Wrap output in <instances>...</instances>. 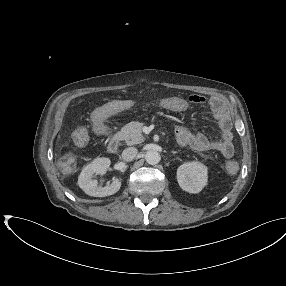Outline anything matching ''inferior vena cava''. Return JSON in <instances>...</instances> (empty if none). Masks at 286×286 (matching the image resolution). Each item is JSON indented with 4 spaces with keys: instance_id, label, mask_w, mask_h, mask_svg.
<instances>
[{
    "instance_id": "1",
    "label": "inferior vena cava",
    "mask_w": 286,
    "mask_h": 286,
    "mask_svg": "<svg viewBox=\"0 0 286 286\" xmlns=\"http://www.w3.org/2000/svg\"><path fill=\"white\" fill-rule=\"evenodd\" d=\"M138 153V150L135 147H128L122 152V159L124 161H132Z\"/></svg>"
}]
</instances>
